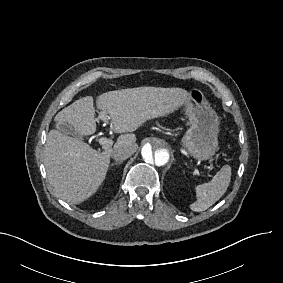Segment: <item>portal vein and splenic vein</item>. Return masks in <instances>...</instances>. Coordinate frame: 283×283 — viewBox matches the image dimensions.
Returning <instances> with one entry per match:
<instances>
[{
	"mask_svg": "<svg viewBox=\"0 0 283 283\" xmlns=\"http://www.w3.org/2000/svg\"><path fill=\"white\" fill-rule=\"evenodd\" d=\"M109 118L107 116H104L102 120L107 121ZM99 143L102 145L103 149H108L113 145V140L107 139L106 137H102L99 140Z\"/></svg>",
	"mask_w": 283,
	"mask_h": 283,
	"instance_id": "obj_1",
	"label": "portal vein and splenic vein"
}]
</instances>
